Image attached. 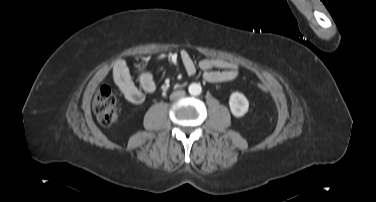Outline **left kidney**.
I'll return each instance as SVG.
<instances>
[{
	"mask_svg": "<svg viewBox=\"0 0 376 202\" xmlns=\"http://www.w3.org/2000/svg\"><path fill=\"white\" fill-rule=\"evenodd\" d=\"M231 112L236 117H241L247 113L249 102L247 98L239 92H233L229 98Z\"/></svg>",
	"mask_w": 376,
	"mask_h": 202,
	"instance_id": "obj_1",
	"label": "left kidney"
}]
</instances>
